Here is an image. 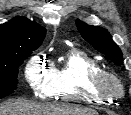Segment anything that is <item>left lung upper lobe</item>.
Listing matches in <instances>:
<instances>
[{"label": "left lung upper lobe", "instance_id": "5c2ea615", "mask_svg": "<svg viewBox=\"0 0 131 115\" xmlns=\"http://www.w3.org/2000/svg\"><path fill=\"white\" fill-rule=\"evenodd\" d=\"M76 26L81 36L96 50L114 60L118 65L122 62V52L106 29L88 25L80 20L76 21Z\"/></svg>", "mask_w": 131, "mask_h": 115}]
</instances>
